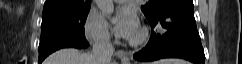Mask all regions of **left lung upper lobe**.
<instances>
[{
    "mask_svg": "<svg viewBox=\"0 0 242 64\" xmlns=\"http://www.w3.org/2000/svg\"><path fill=\"white\" fill-rule=\"evenodd\" d=\"M181 0H149L141 10L148 20L153 19L163 8Z\"/></svg>",
    "mask_w": 242,
    "mask_h": 64,
    "instance_id": "obj_1",
    "label": "left lung upper lobe"
}]
</instances>
